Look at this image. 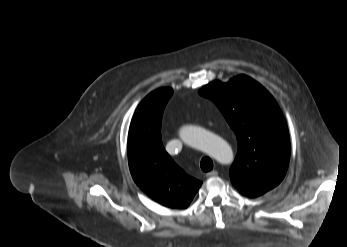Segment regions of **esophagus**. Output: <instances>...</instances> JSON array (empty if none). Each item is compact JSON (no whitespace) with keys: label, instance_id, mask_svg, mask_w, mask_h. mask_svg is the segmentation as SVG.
<instances>
[{"label":"esophagus","instance_id":"34e87169","mask_svg":"<svg viewBox=\"0 0 347 247\" xmlns=\"http://www.w3.org/2000/svg\"><path fill=\"white\" fill-rule=\"evenodd\" d=\"M217 175H218V172L216 170L206 173V177H214Z\"/></svg>","mask_w":347,"mask_h":247}]
</instances>
